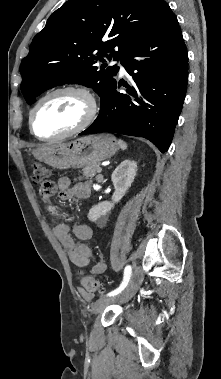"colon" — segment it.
Returning <instances> with one entry per match:
<instances>
[{
  "label": "colon",
  "instance_id": "1",
  "mask_svg": "<svg viewBox=\"0 0 221 379\" xmlns=\"http://www.w3.org/2000/svg\"><path fill=\"white\" fill-rule=\"evenodd\" d=\"M51 172L49 168L42 163H34L32 165L31 178L34 184L39 186V191L41 195L47 194L52 187L50 181ZM81 283L84 289L88 292H100L102 291L101 283L89 275H83Z\"/></svg>",
  "mask_w": 221,
  "mask_h": 379
}]
</instances>
